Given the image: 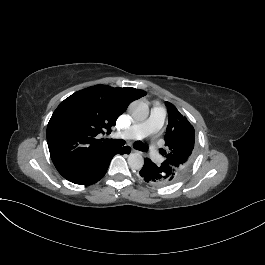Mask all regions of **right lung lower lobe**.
Masks as SVG:
<instances>
[{"instance_id": "right-lung-lower-lobe-1", "label": "right lung lower lobe", "mask_w": 265, "mask_h": 265, "mask_svg": "<svg viewBox=\"0 0 265 265\" xmlns=\"http://www.w3.org/2000/svg\"><path fill=\"white\" fill-rule=\"evenodd\" d=\"M130 151L131 150L128 146H124L121 148H113L112 150H110L109 153L106 154V156L102 160L97 163V165L92 170H90V172H88V174L84 178L71 182L80 185H90L96 183L105 175L109 167L110 161L116 154H129Z\"/></svg>"}]
</instances>
